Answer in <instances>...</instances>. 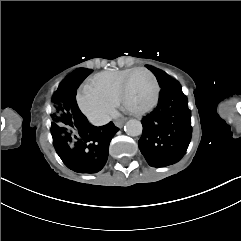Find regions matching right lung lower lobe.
Wrapping results in <instances>:
<instances>
[{
  "label": "right lung lower lobe",
  "instance_id": "98d812e1",
  "mask_svg": "<svg viewBox=\"0 0 241 241\" xmlns=\"http://www.w3.org/2000/svg\"><path fill=\"white\" fill-rule=\"evenodd\" d=\"M87 76L84 69H78L66 77L68 93L65 100L74 131L52 134L59 157L69 169L78 173H96L104 167L110 141L119 130L112 122L101 127L93 126L79 110L76 89Z\"/></svg>",
  "mask_w": 241,
  "mask_h": 241
}]
</instances>
